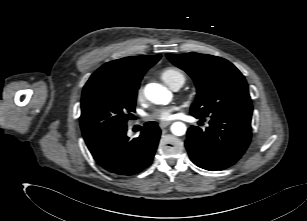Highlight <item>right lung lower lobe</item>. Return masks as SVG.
<instances>
[{"label": "right lung lower lobe", "instance_id": "1", "mask_svg": "<svg viewBox=\"0 0 307 221\" xmlns=\"http://www.w3.org/2000/svg\"><path fill=\"white\" fill-rule=\"evenodd\" d=\"M121 128L88 145L92 156L106 171L130 176L148 167L154 157L161 131L156 122H147L137 138L130 139Z\"/></svg>", "mask_w": 307, "mask_h": 221}]
</instances>
